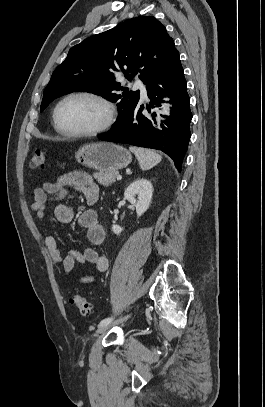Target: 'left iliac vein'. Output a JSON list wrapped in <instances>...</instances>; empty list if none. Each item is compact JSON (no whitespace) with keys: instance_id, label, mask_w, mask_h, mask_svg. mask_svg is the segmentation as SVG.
<instances>
[{"instance_id":"1","label":"left iliac vein","mask_w":265,"mask_h":407,"mask_svg":"<svg viewBox=\"0 0 265 407\" xmlns=\"http://www.w3.org/2000/svg\"><path fill=\"white\" fill-rule=\"evenodd\" d=\"M130 317H131V314H128V315H126V316H124V317H122V318L116 320V321L113 322V323H109V324L100 326V327L97 329V331H96V336L105 333L108 329H110V328H111L112 326H114V325H118V324L123 323L124 321H126V320L129 319Z\"/></svg>"}]
</instances>
